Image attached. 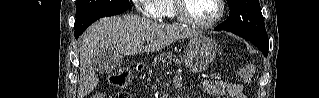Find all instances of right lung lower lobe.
Segmentation results:
<instances>
[{
  "label": "right lung lower lobe",
  "instance_id": "98d812e1",
  "mask_svg": "<svg viewBox=\"0 0 319 98\" xmlns=\"http://www.w3.org/2000/svg\"><path fill=\"white\" fill-rule=\"evenodd\" d=\"M122 12L123 11L101 12V13H95V14L86 15L80 18H76L75 25H74L75 38L77 39L85 31V29L97 19L105 17V16L117 15Z\"/></svg>",
  "mask_w": 319,
  "mask_h": 98
}]
</instances>
